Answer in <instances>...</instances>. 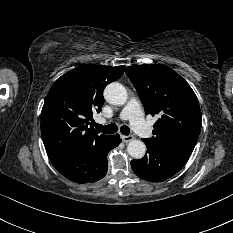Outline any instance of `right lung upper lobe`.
I'll return each mask as SVG.
<instances>
[{"label":"right lung upper lobe","instance_id":"obj_1","mask_svg":"<svg viewBox=\"0 0 233 233\" xmlns=\"http://www.w3.org/2000/svg\"><path fill=\"white\" fill-rule=\"evenodd\" d=\"M124 69L82 65L54 82L41 112V134L50 159L108 136L91 126L92 115L101 111L106 85L120 78Z\"/></svg>","mask_w":233,"mask_h":233}]
</instances>
